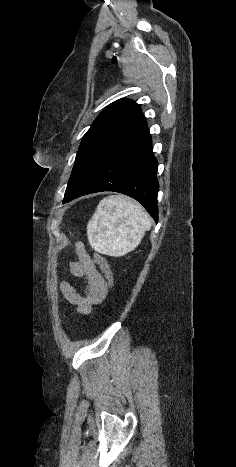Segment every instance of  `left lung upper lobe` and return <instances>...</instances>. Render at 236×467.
I'll list each match as a JSON object with an SVG mask.
<instances>
[{"label":"left lung upper lobe","mask_w":236,"mask_h":467,"mask_svg":"<svg viewBox=\"0 0 236 467\" xmlns=\"http://www.w3.org/2000/svg\"><path fill=\"white\" fill-rule=\"evenodd\" d=\"M142 119L140 106L128 99L115 101L101 112L79 146L64 199L78 191L109 147Z\"/></svg>","instance_id":"1"}]
</instances>
